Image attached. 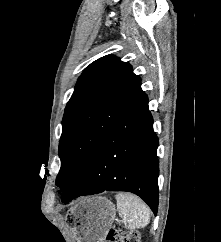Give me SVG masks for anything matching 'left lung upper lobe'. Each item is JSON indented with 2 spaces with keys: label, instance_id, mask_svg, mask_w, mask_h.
I'll return each instance as SVG.
<instances>
[{
  "label": "left lung upper lobe",
  "instance_id": "5c2ea615",
  "mask_svg": "<svg viewBox=\"0 0 221 242\" xmlns=\"http://www.w3.org/2000/svg\"><path fill=\"white\" fill-rule=\"evenodd\" d=\"M144 95L140 77L117 57L104 56L85 68L62 120L60 192L76 179L99 138Z\"/></svg>",
  "mask_w": 221,
  "mask_h": 242
}]
</instances>
